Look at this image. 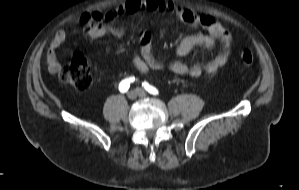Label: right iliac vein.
<instances>
[{"instance_id": "obj_1", "label": "right iliac vein", "mask_w": 299, "mask_h": 190, "mask_svg": "<svg viewBox=\"0 0 299 190\" xmlns=\"http://www.w3.org/2000/svg\"><path fill=\"white\" fill-rule=\"evenodd\" d=\"M138 96V91L137 90H132L128 93V98L130 100H135Z\"/></svg>"}]
</instances>
